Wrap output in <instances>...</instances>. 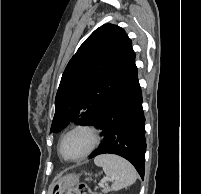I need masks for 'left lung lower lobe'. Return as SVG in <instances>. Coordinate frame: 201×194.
<instances>
[{
    "label": "left lung lower lobe",
    "mask_w": 201,
    "mask_h": 194,
    "mask_svg": "<svg viewBox=\"0 0 201 194\" xmlns=\"http://www.w3.org/2000/svg\"><path fill=\"white\" fill-rule=\"evenodd\" d=\"M90 125L101 129L104 136L102 144L90 158L105 153L122 156L134 165L143 179L146 151L145 117L135 63L118 88L97 111Z\"/></svg>",
    "instance_id": "0a47b994"
}]
</instances>
